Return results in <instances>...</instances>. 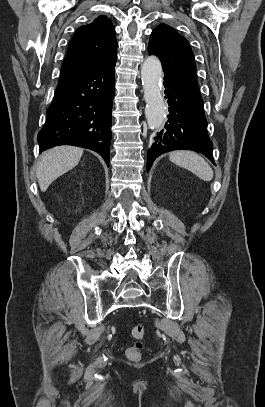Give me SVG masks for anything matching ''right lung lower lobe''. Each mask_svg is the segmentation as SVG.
I'll return each mask as SVG.
<instances>
[{"mask_svg":"<svg viewBox=\"0 0 265 407\" xmlns=\"http://www.w3.org/2000/svg\"><path fill=\"white\" fill-rule=\"evenodd\" d=\"M116 59L58 84L38 133L40 152L74 145L99 153L109 165Z\"/></svg>","mask_w":265,"mask_h":407,"instance_id":"obj_1","label":"right lung lower lobe"}]
</instances>
